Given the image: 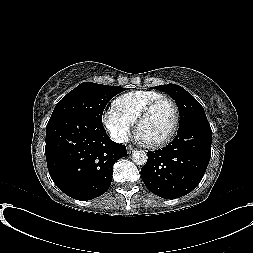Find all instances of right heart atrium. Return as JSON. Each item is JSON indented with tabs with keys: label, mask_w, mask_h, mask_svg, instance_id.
I'll use <instances>...</instances> for the list:
<instances>
[{
	"label": "right heart atrium",
	"mask_w": 253,
	"mask_h": 253,
	"mask_svg": "<svg viewBox=\"0 0 253 253\" xmlns=\"http://www.w3.org/2000/svg\"><path fill=\"white\" fill-rule=\"evenodd\" d=\"M103 122L111 136L117 142H126L132 133L133 123L115 107L108 108L103 115Z\"/></svg>",
	"instance_id": "d8ad5b80"
}]
</instances>
